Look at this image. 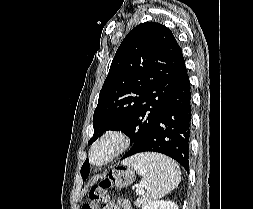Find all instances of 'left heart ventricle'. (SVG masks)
I'll return each instance as SVG.
<instances>
[{"label":"left heart ventricle","mask_w":253,"mask_h":209,"mask_svg":"<svg viewBox=\"0 0 253 209\" xmlns=\"http://www.w3.org/2000/svg\"><path fill=\"white\" fill-rule=\"evenodd\" d=\"M113 145L114 144L112 142H108L105 145L99 147L95 152L94 161L95 162L102 161L113 149Z\"/></svg>","instance_id":"left-heart-ventricle-1"}]
</instances>
